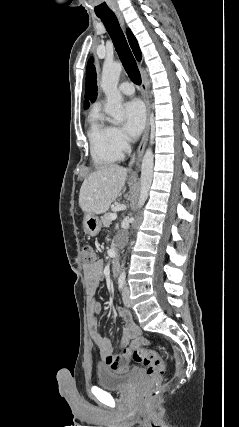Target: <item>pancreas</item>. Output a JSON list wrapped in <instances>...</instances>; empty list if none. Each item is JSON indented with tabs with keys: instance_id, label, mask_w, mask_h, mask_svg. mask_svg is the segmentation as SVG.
<instances>
[{
	"instance_id": "obj_1",
	"label": "pancreas",
	"mask_w": 239,
	"mask_h": 427,
	"mask_svg": "<svg viewBox=\"0 0 239 427\" xmlns=\"http://www.w3.org/2000/svg\"><path fill=\"white\" fill-rule=\"evenodd\" d=\"M109 216H110V213H106V214L102 217L101 222H102V224H103V227H109V226H110V224H111V220H110Z\"/></svg>"
}]
</instances>
